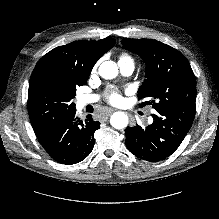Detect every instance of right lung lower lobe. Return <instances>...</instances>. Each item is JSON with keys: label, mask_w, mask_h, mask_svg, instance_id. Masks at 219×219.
Masks as SVG:
<instances>
[{"label": "right lung lower lobe", "mask_w": 219, "mask_h": 219, "mask_svg": "<svg viewBox=\"0 0 219 219\" xmlns=\"http://www.w3.org/2000/svg\"><path fill=\"white\" fill-rule=\"evenodd\" d=\"M75 114L73 109L48 119L30 117L39 142L61 164L71 165L84 160L94 147L93 135L100 127L91 115L82 120Z\"/></svg>", "instance_id": "98d812e1"}]
</instances>
